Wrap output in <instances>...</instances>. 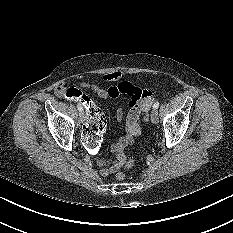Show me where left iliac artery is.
Listing matches in <instances>:
<instances>
[{"label":"left iliac artery","instance_id":"1","mask_svg":"<svg viewBox=\"0 0 233 233\" xmlns=\"http://www.w3.org/2000/svg\"><path fill=\"white\" fill-rule=\"evenodd\" d=\"M158 107H159V102L157 101V102H155V103H154V105H153V109H155V110H156V109H158Z\"/></svg>","mask_w":233,"mask_h":233}]
</instances>
